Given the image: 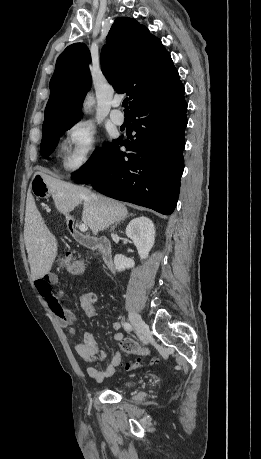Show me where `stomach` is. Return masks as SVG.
I'll return each instance as SVG.
<instances>
[{
	"label": "stomach",
	"instance_id": "obj_1",
	"mask_svg": "<svg viewBox=\"0 0 261 459\" xmlns=\"http://www.w3.org/2000/svg\"><path fill=\"white\" fill-rule=\"evenodd\" d=\"M30 189L32 194L37 198L47 197L50 194L47 184L39 174L33 176L30 183Z\"/></svg>",
	"mask_w": 261,
	"mask_h": 459
}]
</instances>
